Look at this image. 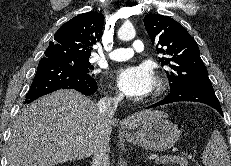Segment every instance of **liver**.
<instances>
[{"mask_svg":"<svg viewBox=\"0 0 231 166\" xmlns=\"http://www.w3.org/2000/svg\"><path fill=\"white\" fill-rule=\"evenodd\" d=\"M158 114L144 110L120 121L134 129ZM97 105L75 90H59L25 106L14 121L8 140V166H54L95 155L109 145L112 126Z\"/></svg>","mask_w":231,"mask_h":166,"instance_id":"1","label":"liver"}]
</instances>
